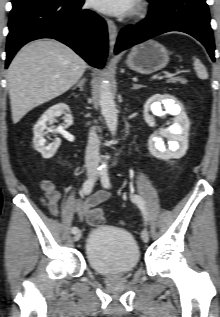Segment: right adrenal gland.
<instances>
[{
	"label": "right adrenal gland",
	"mask_w": 220,
	"mask_h": 317,
	"mask_svg": "<svg viewBox=\"0 0 220 317\" xmlns=\"http://www.w3.org/2000/svg\"><path fill=\"white\" fill-rule=\"evenodd\" d=\"M86 78H83V79H81L78 83H77V85H75L74 87H73V89H76L77 87H79L80 88V91H83V86H84V84L86 83Z\"/></svg>",
	"instance_id": "2a0ac1e0"
}]
</instances>
